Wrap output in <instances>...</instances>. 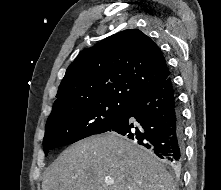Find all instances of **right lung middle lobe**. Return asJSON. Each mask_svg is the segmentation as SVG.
<instances>
[{"instance_id": "dd1d6c3e", "label": "right lung middle lobe", "mask_w": 221, "mask_h": 190, "mask_svg": "<svg viewBox=\"0 0 221 190\" xmlns=\"http://www.w3.org/2000/svg\"><path fill=\"white\" fill-rule=\"evenodd\" d=\"M127 101L100 99L52 111L45 128L44 152L112 129L123 117Z\"/></svg>"}]
</instances>
